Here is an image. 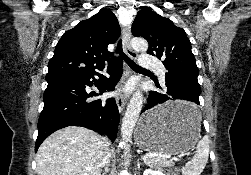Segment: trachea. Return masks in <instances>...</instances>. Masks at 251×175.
<instances>
[{
    "label": "trachea",
    "instance_id": "trachea-1",
    "mask_svg": "<svg viewBox=\"0 0 251 175\" xmlns=\"http://www.w3.org/2000/svg\"><path fill=\"white\" fill-rule=\"evenodd\" d=\"M116 52L125 60V62L133 69L136 71H144V72H149V70H146V68L139 67L131 58L127 57L123 51H122V42L121 40L118 42Z\"/></svg>",
    "mask_w": 251,
    "mask_h": 175
}]
</instances>
